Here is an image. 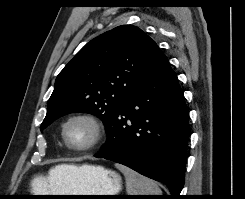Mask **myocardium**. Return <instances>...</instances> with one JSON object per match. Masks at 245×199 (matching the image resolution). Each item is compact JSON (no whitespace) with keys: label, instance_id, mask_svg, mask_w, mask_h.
<instances>
[{"label":"myocardium","instance_id":"myocardium-1","mask_svg":"<svg viewBox=\"0 0 245 199\" xmlns=\"http://www.w3.org/2000/svg\"><path fill=\"white\" fill-rule=\"evenodd\" d=\"M74 120H84L91 124L94 136L93 139L84 146H75L71 144L67 137V127L68 125L74 121ZM62 138L65 143V145L73 151L76 152H89L93 149H95L97 146H99L104 137H105V129L102 124V122L93 114L87 113V112H77L69 115L66 120L62 124V130H61Z\"/></svg>","mask_w":245,"mask_h":199}]
</instances>
